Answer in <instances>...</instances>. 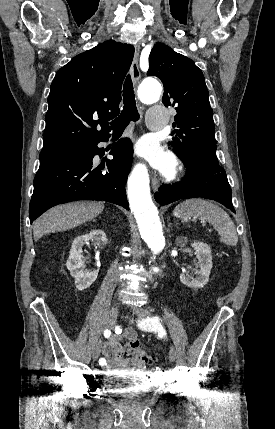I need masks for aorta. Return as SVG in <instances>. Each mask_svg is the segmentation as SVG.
Returning a JSON list of instances; mask_svg holds the SVG:
<instances>
[{"mask_svg": "<svg viewBox=\"0 0 275 429\" xmlns=\"http://www.w3.org/2000/svg\"><path fill=\"white\" fill-rule=\"evenodd\" d=\"M161 92V85L151 79L140 85L138 96L141 102L152 104L159 100ZM149 183L146 169L138 166L134 168L128 178L127 194L142 239L154 254H158L165 247V238L157 208L151 198ZM153 270L157 271L156 268Z\"/></svg>", "mask_w": 275, "mask_h": 429, "instance_id": "762f6f07", "label": "aorta"}]
</instances>
